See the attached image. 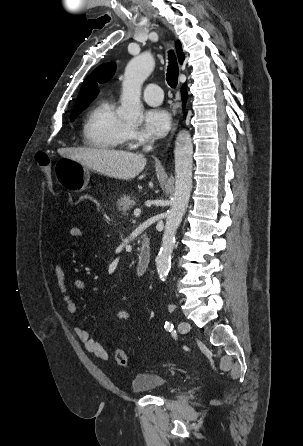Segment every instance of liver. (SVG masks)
Here are the masks:
<instances>
[{
  "label": "liver",
  "instance_id": "obj_1",
  "mask_svg": "<svg viewBox=\"0 0 303 446\" xmlns=\"http://www.w3.org/2000/svg\"><path fill=\"white\" fill-rule=\"evenodd\" d=\"M58 152L102 175L122 180L138 176L147 163L142 154L113 149L65 148Z\"/></svg>",
  "mask_w": 303,
  "mask_h": 446
}]
</instances>
